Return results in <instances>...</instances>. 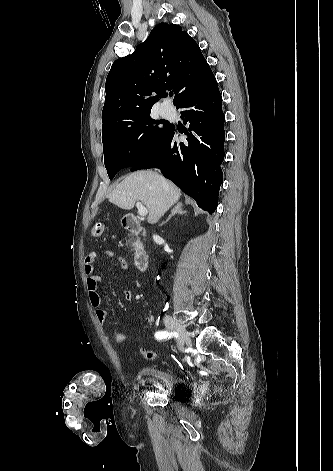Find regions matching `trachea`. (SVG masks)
I'll return each mask as SVG.
<instances>
[{
	"label": "trachea",
	"instance_id": "obj_1",
	"mask_svg": "<svg viewBox=\"0 0 333 471\" xmlns=\"http://www.w3.org/2000/svg\"><path fill=\"white\" fill-rule=\"evenodd\" d=\"M169 95H170V96H172L173 94H172V93H170Z\"/></svg>",
	"mask_w": 333,
	"mask_h": 471
}]
</instances>
